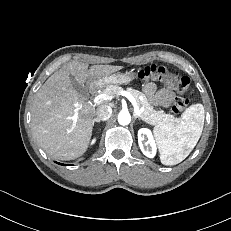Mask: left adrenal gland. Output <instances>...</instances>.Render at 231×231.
<instances>
[{
  "label": "left adrenal gland",
  "mask_w": 231,
  "mask_h": 231,
  "mask_svg": "<svg viewBox=\"0 0 231 231\" xmlns=\"http://www.w3.org/2000/svg\"><path fill=\"white\" fill-rule=\"evenodd\" d=\"M134 118L140 120V118L136 114H134Z\"/></svg>",
  "instance_id": "a2214340"
}]
</instances>
